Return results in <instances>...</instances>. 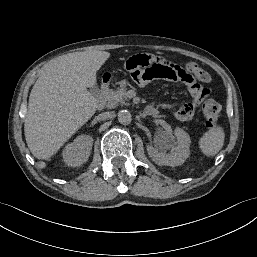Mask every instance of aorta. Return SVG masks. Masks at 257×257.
Returning a JSON list of instances; mask_svg holds the SVG:
<instances>
[{"label": "aorta", "mask_w": 257, "mask_h": 257, "mask_svg": "<svg viewBox=\"0 0 257 257\" xmlns=\"http://www.w3.org/2000/svg\"><path fill=\"white\" fill-rule=\"evenodd\" d=\"M118 121L123 125H128L132 121V115L127 110H120L117 114Z\"/></svg>", "instance_id": "aorta-1"}]
</instances>
